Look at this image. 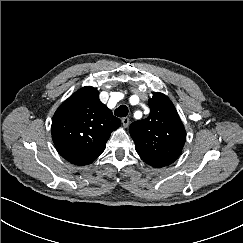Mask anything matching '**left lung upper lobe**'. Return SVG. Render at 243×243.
I'll use <instances>...</instances> for the list:
<instances>
[{"instance_id": "obj_1", "label": "left lung upper lobe", "mask_w": 243, "mask_h": 243, "mask_svg": "<svg viewBox=\"0 0 243 243\" xmlns=\"http://www.w3.org/2000/svg\"><path fill=\"white\" fill-rule=\"evenodd\" d=\"M150 114L135 121L129 132L140 158L150 166H168L179 157L186 133L184 125L169 98L153 92L149 99Z\"/></svg>"}]
</instances>
